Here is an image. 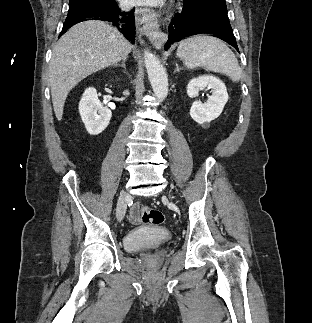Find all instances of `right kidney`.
<instances>
[{"label": "right kidney", "mask_w": 312, "mask_h": 323, "mask_svg": "<svg viewBox=\"0 0 312 323\" xmlns=\"http://www.w3.org/2000/svg\"><path fill=\"white\" fill-rule=\"evenodd\" d=\"M78 110L86 130L91 136L101 134L112 118L111 110L103 108L101 102H99L95 88L85 90L79 102Z\"/></svg>", "instance_id": "1"}]
</instances>
